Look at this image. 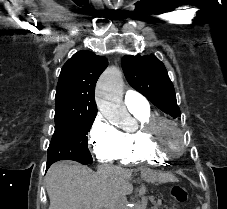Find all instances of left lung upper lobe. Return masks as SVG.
I'll use <instances>...</instances> for the list:
<instances>
[{
    "label": "left lung upper lobe",
    "instance_id": "obj_1",
    "mask_svg": "<svg viewBox=\"0 0 227 209\" xmlns=\"http://www.w3.org/2000/svg\"><path fill=\"white\" fill-rule=\"evenodd\" d=\"M129 84L156 107L173 118L181 115L176 94L164 64L154 55L129 56L121 60Z\"/></svg>",
    "mask_w": 227,
    "mask_h": 209
}]
</instances>
